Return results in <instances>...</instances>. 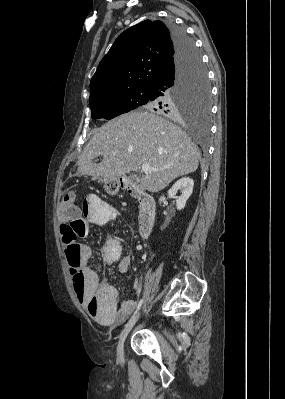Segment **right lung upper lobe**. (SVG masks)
Listing matches in <instances>:
<instances>
[{
    "label": "right lung upper lobe",
    "mask_w": 285,
    "mask_h": 399,
    "mask_svg": "<svg viewBox=\"0 0 285 399\" xmlns=\"http://www.w3.org/2000/svg\"><path fill=\"white\" fill-rule=\"evenodd\" d=\"M174 55L171 32L163 22L145 20L130 27L101 60L91 79L89 100L130 89L149 88Z\"/></svg>",
    "instance_id": "1"
}]
</instances>
